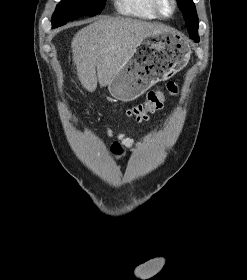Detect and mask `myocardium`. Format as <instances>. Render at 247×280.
<instances>
[{
	"label": "myocardium",
	"mask_w": 247,
	"mask_h": 280,
	"mask_svg": "<svg viewBox=\"0 0 247 280\" xmlns=\"http://www.w3.org/2000/svg\"><path fill=\"white\" fill-rule=\"evenodd\" d=\"M167 1L170 3L172 7V11L169 15L165 14L163 11V3ZM154 8L162 19H172L178 10V3L177 0H154Z\"/></svg>",
	"instance_id": "obj_1"
}]
</instances>
